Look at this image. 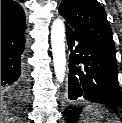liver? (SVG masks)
Wrapping results in <instances>:
<instances>
[{
  "label": "liver",
  "instance_id": "6515ba94",
  "mask_svg": "<svg viewBox=\"0 0 122 123\" xmlns=\"http://www.w3.org/2000/svg\"><path fill=\"white\" fill-rule=\"evenodd\" d=\"M6 114L5 113H1V123H3L4 122V116H5Z\"/></svg>",
  "mask_w": 122,
  "mask_h": 123
}]
</instances>
